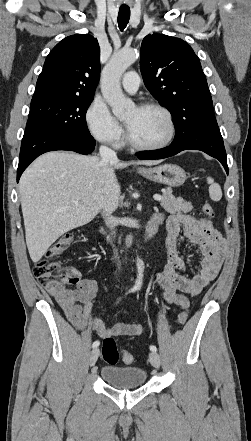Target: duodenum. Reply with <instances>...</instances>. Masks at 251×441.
Segmentation results:
<instances>
[{
    "mask_svg": "<svg viewBox=\"0 0 251 441\" xmlns=\"http://www.w3.org/2000/svg\"><path fill=\"white\" fill-rule=\"evenodd\" d=\"M159 225L160 221L153 217L146 227L144 234L145 241L151 239L157 233Z\"/></svg>",
    "mask_w": 251,
    "mask_h": 441,
    "instance_id": "obj_1",
    "label": "duodenum"
}]
</instances>
